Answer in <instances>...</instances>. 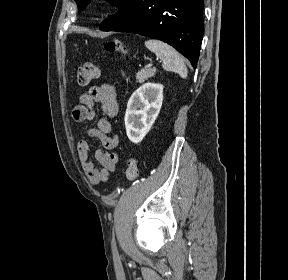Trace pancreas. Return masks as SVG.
Segmentation results:
<instances>
[{
    "label": "pancreas",
    "mask_w": 288,
    "mask_h": 280,
    "mask_svg": "<svg viewBox=\"0 0 288 280\" xmlns=\"http://www.w3.org/2000/svg\"><path fill=\"white\" fill-rule=\"evenodd\" d=\"M156 69H142L136 73V80L138 83H143L145 80L155 75Z\"/></svg>",
    "instance_id": "1"
}]
</instances>
